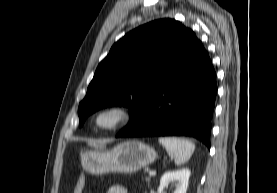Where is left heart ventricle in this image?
I'll list each match as a JSON object with an SVG mask.
<instances>
[{
  "label": "left heart ventricle",
  "instance_id": "left-heart-ventricle-1",
  "mask_svg": "<svg viewBox=\"0 0 277 193\" xmlns=\"http://www.w3.org/2000/svg\"><path fill=\"white\" fill-rule=\"evenodd\" d=\"M113 117L111 115H103L102 117H100L99 119V123L101 125H107L112 121Z\"/></svg>",
  "mask_w": 277,
  "mask_h": 193
}]
</instances>
